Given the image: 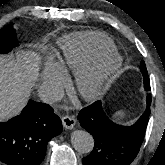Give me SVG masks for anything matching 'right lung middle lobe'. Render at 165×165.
Listing matches in <instances>:
<instances>
[{"instance_id":"right-lung-middle-lobe-1","label":"right lung middle lobe","mask_w":165,"mask_h":165,"mask_svg":"<svg viewBox=\"0 0 165 165\" xmlns=\"http://www.w3.org/2000/svg\"><path fill=\"white\" fill-rule=\"evenodd\" d=\"M18 45L15 30L12 24L5 26L0 30V53H7Z\"/></svg>"}]
</instances>
